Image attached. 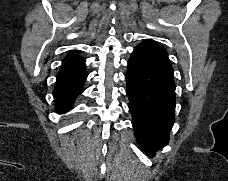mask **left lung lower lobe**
Returning <instances> with one entry per match:
<instances>
[{
  "label": "left lung lower lobe",
  "instance_id": "0a47b994",
  "mask_svg": "<svg viewBox=\"0 0 228 181\" xmlns=\"http://www.w3.org/2000/svg\"><path fill=\"white\" fill-rule=\"evenodd\" d=\"M126 82L136 139L153 157L169 142L175 122V83L166 50L153 40L136 46L128 62Z\"/></svg>",
  "mask_w": 228,
  "mask_h": 181
}]
</instances>
